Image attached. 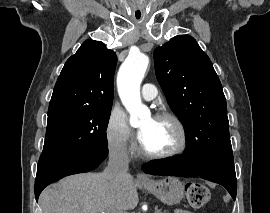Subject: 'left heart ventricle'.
I'll return each instance as SVG.
<instances>
[{"label": "left heart ventricle", "instance_id": "left-heart-ventricle-1", "mask_svg": "<svg viewBox=\"0 0 270 213\" xmlns=\"http://www.w3.org/2000/svg\"><path fill=\"white\" fill-rule=\"evenodd\" d=\"M140 131L145 134L142 141L143 147L152 153L170 151L180 142L179 132L169 120L149 118L141 124Z\"/></svg>", "mask_w": 270, "mask_h": 213}]
</instances>
